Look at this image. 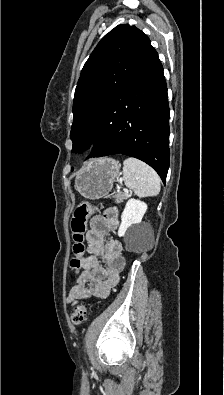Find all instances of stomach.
Segmentation results:
<instances>
[{"label":"stomach","mask_w":224,"mask_h":395,"mask_svg":"<svg viewBox=\"0 0 224 395\" xmlns=\"http://www.w3.org/2000/svg\"><path fill=\"white\" fill-rule=\"evenodd\" d=\"M119 173L118 161L112 158L93 159L77 173L75 188L87 199H100L111 191Z\"/></svg>","instance_id":"1"}]
</instances>
